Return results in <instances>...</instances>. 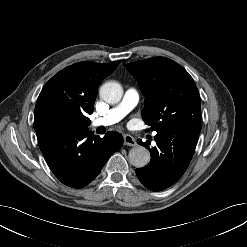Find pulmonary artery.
<instances>
[{"mask_svg":"<svg viewBox=\"0 0 247 247\" xmlns=\"http://www.w3.org/2000/svg\"><path fill=\"white\" fill-rule=\"evenodd\" d=\"M138 100L139 96L136 90L132 88L128 89L125 92L122 101L104 115L93 119L91 126L94 128L99 126H110L119 122L136 107Z\"/></svg>","mask_w":247,"mask_h":247,"instance_id":"pulmonary-artery-1","label":"pulmonary artery"}]
</instances>
